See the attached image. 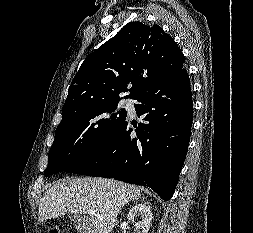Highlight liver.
Instances as JSON below:
<instances>
[{
  "label": "liver",
  "mask_w": 253,
  "mask_h": 233,
  "mask_svg": "<svg viewBox=\"0 0 253 233\" xmlns=\"http://www.w3.org/2000/svg\"><path fill=\"white\" fill-rule=\"evenodd\" d=\"M141 195L138 187L105 178H64L43 195L39 204V220L44 222L65 214H89L94 233H111L118 213L127 203Z\"/></svg>",
  "instance_id": "liver-1"
}]
</instances>
